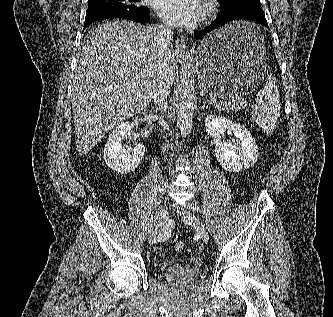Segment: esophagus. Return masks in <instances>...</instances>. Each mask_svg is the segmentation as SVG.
<instances>
[{
	"instance_id": "1",
	"label": "esophagus",
	"mask_w": 333,
	"mask_h": 317,
	"mask_svg": "<svg viewBox=\"0 0 333 317\" xmlns=\"http://www.w3.org/2000/svg\"><path fill=\"white\" fill-rule=\"evenodd\" d=\"M175 55L177 58H184L188 55L184 38H177L175 41Z\"/></svg>"
}]
</instances>
